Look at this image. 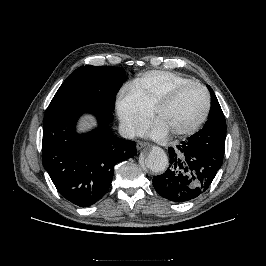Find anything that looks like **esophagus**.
I'll list each match as a JSON object with an SVG mask.
<instances>
[{"mask_svg": "<svg viewBox=\"0 0 266 266\" xmlns=\"http://www.w3.org/2000/svg\"><path fill=\"white\" fill-rule=\"evenodd\" d=\"M148 146H150L148 142L139 141L136 147H137V150H141L142 148L148 147Z\"/></svg>", "mask_w": 266, "mask_h": 266, "instance_id": "esophagus-1", "label": "esophagus"}]
</instances>
